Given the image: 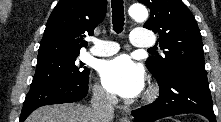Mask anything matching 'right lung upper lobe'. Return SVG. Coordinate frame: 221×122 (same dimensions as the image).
I'll list each match as a JSON object with an SVG mask.
<instances>
[{
	"label": "right lung upper lobe",
	"instance_id": "1",
	"mask_svg": "<svg viewBox=\"0 0 221 122\" xmlns=\"http://www.w3.org/2000/svg\"><path fill=\"white\" fill-rule=\"evenodd\" d=\"M106 9L107 0H60L47 21L38 59L79 54L87 46L85 34H93Z\"/></svg>",
	"mask_w": 221,
	"mask_h": 122
}]
</instances>
